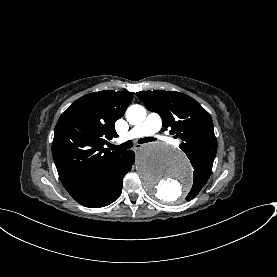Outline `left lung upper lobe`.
Listing matches in <instances>:
<instances>
[{"label":"left lung upper lobe","instance_id":"1","mask_svg":"<svg viewBox=\"0 0 277 277\" xmlns=\"http://www.w3.org/2000/svg\"><path fill=\"white\" fill-rule=\"evenodd\" d=\"M136 95L157 112L165 128L182 140L180 148L194 168V183L186 199H193L210 177L217 141L210 114L190 96L172 91H141Z\"/></svg>","mask_w":277,"mask_h":277}]
</instances>
